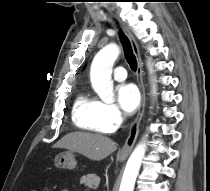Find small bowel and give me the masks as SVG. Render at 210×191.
<instances>
[{
  "mask_svg": "<svg viewBox=\"0 0 210 191\" xmlns=\"http://www.w3.org/2000/svg\"><path fill=\"white\" fill-rule=\"evenodd\" d=\"M62 191H69V190H66V189H65V190H62Z\"/></svg>",
  "mask_w": 210,
  "mask_h": 191,
  "instance_id": "1",
  "label": "small bowel"
}]
</instances>
